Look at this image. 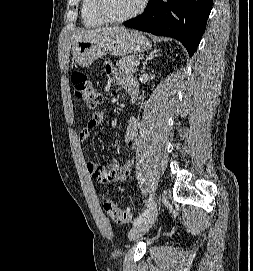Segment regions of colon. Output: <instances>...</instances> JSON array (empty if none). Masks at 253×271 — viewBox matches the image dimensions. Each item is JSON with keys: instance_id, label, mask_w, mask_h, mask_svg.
Wrapping results in <instances>:
<instances>
[{"instance_id": "colon-1", "label": "colon", "mask_w": 253, "mask_h": 271, "mask_svg": "<svg viewBox=\"0 0 253 271\" xmlns=\"http://www.w3.org/2000/svg\"><path fill=\"white\" fill-rule=\"evenodd\" d=\"M74 93L76 97L81 99L86 105L95 109L102 103V95L90 81L86 74L75 72L71 78ZM105 212L117 224L129 223L133 215L128 210L120 209L111 199L107 198L103 202Z\"/></svg>"}]
</instances>
